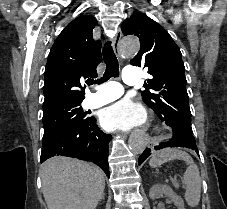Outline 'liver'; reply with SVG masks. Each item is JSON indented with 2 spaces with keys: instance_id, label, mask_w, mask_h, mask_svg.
<instances>
[{
  "instance_id": "obj_1",
  "label": "liver",
  "mask_w": 227,
  "mask_h": 209,
  "mask_svg": "<svg viewBox=\"0 0 227 209\" xmlns=\"http://www.w3.org/2000/svg\"><path fill=\"white\" fill-rule=\"evenodd\" d=\"M41 181L48 209H96L105 189L99 167L69 157L46 161Z\"/></svg>"
}]
</instances>
